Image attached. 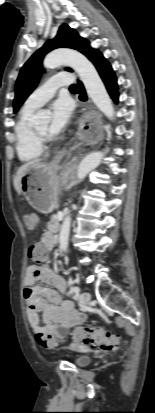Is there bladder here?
I'll return each instance as SVG.
<instances>
[{"label": "bladder", "mask_w": 155, "mask_h": 413, "mask_svg": "<svg viewBox=\"0 0 155 413\" xmlns=\"http://www.w3.org/2000/svg\"><path fill=\"white\" fill-rule=\"evenodd\" d=\"M91 357L88 355H78L76 356L74 362L79 367L87 366L91 363Z\"/></svg>", "instance_id": "bladder-1"}]
</instances>
